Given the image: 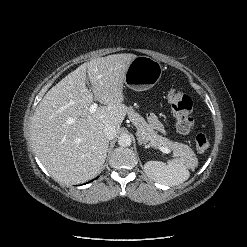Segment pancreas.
Returning a JSON list of instances; mask_svg holds the SVG:
<instances>
[{
    "label": "pancreas",
    "instance_id": "cf45deb5",
    "mask_svg": "<svg viewBox=\"0 0 247 247\" xmlns=\"http://www.w3.org/2000/svg\"><path fill=\"white\" fill-rule=\"evenodd\" d=\"M128 115L129 119L137 129L138 139L142 143H149L154 147H166L173 151V156L183 158L187 161L195 158V154L189 146L170 141L169 139L159 135L148 125L143 117L134 111L132 107L129 108Z\"/></svg>",
    "mask_w": 247,
    "mask_h": 247
}]
</instances>
